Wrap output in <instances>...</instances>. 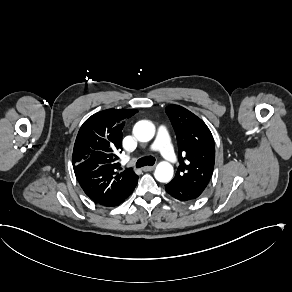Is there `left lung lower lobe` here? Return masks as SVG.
<instances>
[{
	"label": "left lung lower lobe",
	"mask_w": 292,
	"mask_h": 292,
	"mask_svg": "<svg viewBox=\"0 0 292 292\" xmlns=\"http://www.w3.org/2000/svg\"><path fill=\"white\" fill-rule=\"evenodd\" d=\"M165 190L172 197L183 202L194 200L202 194L198 191L181 187L173 182L166 184Z\"/></svg>",
	"instance_id": "left-lung-lower-lobe-1"
}]
</instances>
